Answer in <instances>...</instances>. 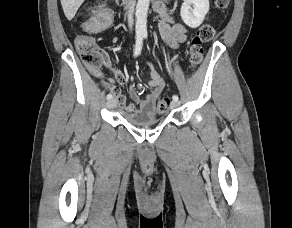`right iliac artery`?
Returning <instances> with one entry per match:
<instances>
[{"label":"right iliac artery","instance_id":"82829eb1","mask_svg":"<svg viewBox=\"0 0 292 228\" xmlns=\"http://www.w3.org/2000/svg\"><path fill=\"white\" fill-rule=\"evenodd\" d=\"M142 44H143V36L137 35L136 36V45H135V49H134V57L138 56L141 53ZM106 98L109 100L112 98V95L109 93L106 96Z\"/></svg>","mask_w":292,"mask_h":228}]
</instances>
